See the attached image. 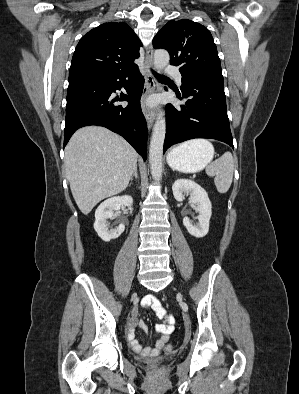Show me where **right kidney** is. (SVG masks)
<instances>
[{
	"mask_svg": "<svg viewBox=\"0 0 299 394\" xmlns=\"http://www.w3.org/2000/svg\"><path fill=\"white\" fill-rule=\"evenodd\" d=\"M133 199L131 196H115L102 202L95 211L94 229L98 236L105 242L118 238L125 230V225L120 224L115 229H108L107 220L114 211L120 210L121 206L131 207Z\"/></svg>",
	"mask_w": 299,
	"mask_h": 394,
	"instance_id": "obj_1",
	"label": "right kidney"
}]
</instances>
